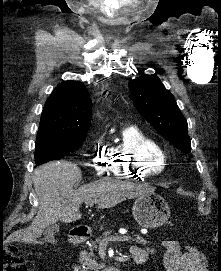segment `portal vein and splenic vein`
Wrapping results in <instances>:
<instances>
[{"mask_svg": "<svg viewBox=\"0 0 221 271\" xmlns=\"http://www.w3.org/2000/svg\"><path fill=\"white\" fill-rule=\"evenodd\" d=\"M96 201H98V199H96ZM105 240L106 242H130L132 239L125 234L122 237H114L113 234H108Z\"/></svg>", "mask_w": 221, "mask_h": 271, "instance_id": "18ae733b", "label": "portal vein and splenic vein"}]
</instances>
